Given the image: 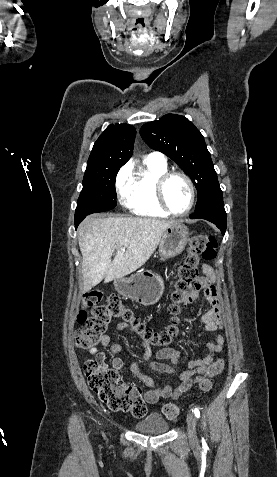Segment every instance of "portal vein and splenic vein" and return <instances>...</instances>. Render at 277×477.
I'll use <instances>...</instances> for the list:
<instances>
[{
	"label": "portal vein and splenic vein",
	"instance_id": "portal-vein-and-splenic-vein-1",
	"mask_svg": "<svg viewBox=\"0 0 277 477\" xmlns=\"http://www.w3.org/2000/svg\"><path fill=\"white\" fill-rule=\"evenodd\" d=\"M121 251H122V252H125V248H121Z\"/></svg>",
	"mask_w": 277,
	"mask_h": 477
}]
</instances>
